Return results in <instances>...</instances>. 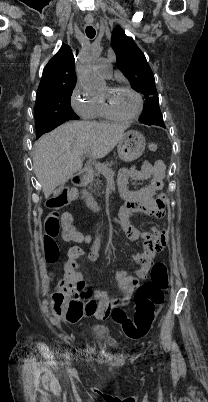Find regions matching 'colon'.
Masks as SVG:
<instances>
[{
  "label": "colon",
  "mask_w": 208,
  "mask_h": 402,
  "mask_svg": "<svg viewBox=\"0 0 208 402\" xmlns=\"http://www.w3.org/2000/svg\"><path fill=\"white\" fill-rule=\"evenodd\" d=\"M147 149L151 153L157 151V144L149 142ZM45 232L42 235L47 241L43 253L49 265H56L61 254L55 237L76 238V229H70V222L67 217L61 219L59 216H47L44 222ZM67 261L72 263L77 258V253L84 255L86 250L75 245L68 249ZM52 277V276H51ZM168 268L165 262H157L152 266L150 280L142 284L135 292V312L133 319L129 318L123 309L125 301H103L98 299L84 300L83 297H75V289L72 282L60 283L51 298L55 303L54 312L64 314L69 318H81L93 313L112 316L113 320L120 326L124 335L129 339H139L145 336L157 314V309L163 304L165 291L168 287ZM73 307L76 309L73 314ZM102 309V310H101ZM106 309V310H105ZM72 314V315H71Z\"/></svg>",
  "instance_id": "obj_1"
}]
</instances>
